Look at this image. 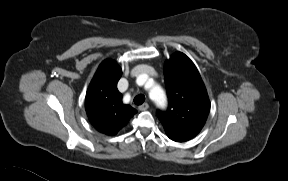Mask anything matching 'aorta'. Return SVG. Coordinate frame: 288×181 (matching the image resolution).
I'll return each mask as SVG.
<instances>
[{
    "label": "aorta",
    "mask_w": 288,
    "mask_h": 181,
    "mask_svg": "<svg viewBox=\"0 0 288 181\" xmlns=\"http://www.w3.org/2000/svg\"><path fill=\"white\" fill-rule=\"evenodd\" d=\"M151 94H154L155 95V101L157 103L161 102L163 99H164V92L163 90L158 87V86H155L152 90H151Z\"/></svg>",
    "instance_id": "aorta-1"
}]
</instances>
